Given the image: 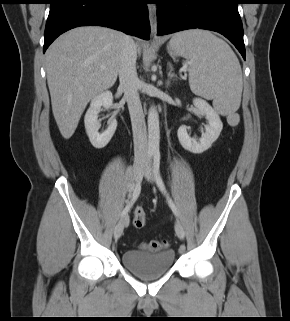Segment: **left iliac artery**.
Masks as SVG:
<instances>
[{"label": "left iliac artery", "mask_w": 290, "mask_h": 321, "mask_svg": "<svg viewBox=\"0 0 290 321\" xmlns=\"http://www.w3.org/2000/svg\"><path fill=\"white\" fill-rule=\"evenodd\" d=\"M153 172L155 175L156 183H157L160 191L166 196L168 204H169L171 210L173 211L174 215L176 217H178L177 208H176L175 204L173 203L172 199L168 196L166 187L164 185V182H163L161 174H160V152L159 151L154 152V155H153Z\"/></svg>", "instance_id": "44dca946"}]
</instances>
